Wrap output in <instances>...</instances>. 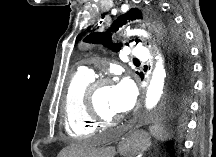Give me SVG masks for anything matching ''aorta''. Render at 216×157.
<instances>
[{"mask_svg":"<svg viewBox=\"0 0 216 157\" xmlns=\"http://www.w3.org/2000/svg\"><path fill=\"white\" fill-rule=\"evenodd\" d=\"M125 33L127 36L138 35L146 38L149 37V34L142 29H131L127 27ZM156 59L157 62L146 93L145 106L147 110L153 109L159 103L164 92L165 79L167 76L163 58L158 54ZM122 154L129 155L124 150H122Z\"/></svg>","mask_w":216,"mask_h":157,"instance_id":"1","label":"aorta"}]
</instances>
